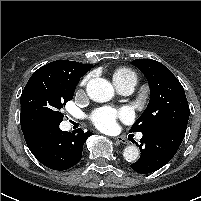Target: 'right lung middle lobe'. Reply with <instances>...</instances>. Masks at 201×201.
<instances>
[{
  "instance_id": "1",
  "label": "right lung middle lobe",
  "mask_w": 201,
  "mask_h": 201,
  "mask_svg": "<svg viewBox=\"0 0 201 201\" xmlns=\"http://www.w3.org/2000/svg\"><path fill=\"white\" fill-rule=\"evenodd\" d=\"M88 70L69 73L48 65L36 70L20 99L22 131L59 125L64 117L61 108L73 99L80 78Z\"/></svg>"
}]
</instances>
